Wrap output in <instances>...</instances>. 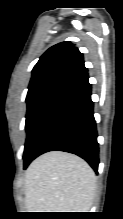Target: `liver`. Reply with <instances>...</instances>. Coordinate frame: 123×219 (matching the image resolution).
Wrapping results in <instances>:
<instances>
[{
    "mask_svg": "<svg viewBox=\"0 0 123 219\" xmlns=\"http://www.w3.org/2000/svg\"><path fill=\"white\" fill-rule=\"evenodd\" d=\"M24 189L28 212H89L96 176L82 158L51 151L29 165Z\"/></svg>",
    "mask_w": 123,
    "mask_h": 219,
    "instance_id": "1",
    "label": "liver"
}]
</instances>
